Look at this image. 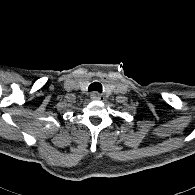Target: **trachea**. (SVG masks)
<instances>
[{
  "label": "trachea",
  "mask_w": 195,
  "mask_h": 195,
  "mask_svg": "<svg viewBox=\"0 0 195 195\" xmlns=\"http://www.w3.org/2000/svg\"><path fill=\"white\" fill-rule=\"evenodd\" d=\"M89 91H97V92H102V85L99 82H94L92 84H90Z\"/></svg>",
  "instance_id": "3493384b"
}]
</instances>
